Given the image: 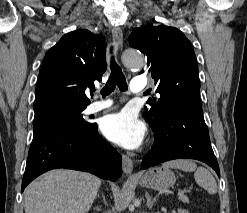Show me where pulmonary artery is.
<instances>
[{"label":"pulmonary artery","mask_w":247,"mask_h":213,"mask_svg":"<svg viewBox=\"0 0 247 213\" xmlns=\"http://www.w3.org/2000/svg\"><path fill=\"white\" fill-rule=\"evenodd\" d=\"M148 79L146 77H136L132 80L130 89L133 93L143 92L147 87ZM113 101L110 99L94 101L88 106L90 113H96L111 107Z\"/></svg>","instance_id":"e3ab8cb5"}]
</instances>
